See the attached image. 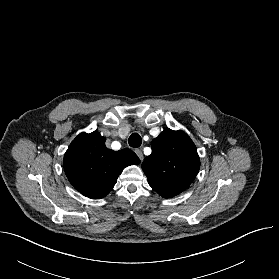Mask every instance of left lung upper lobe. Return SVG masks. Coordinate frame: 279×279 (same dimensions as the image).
<instances>
[{
    "instance_id": "left-lung-upper-lobe-1",
    "label": "left lung upper lobe",
    "mask_w": 279,
    "mask_h": 279,
    "mask_svg": "<svg viewBox=\"0 0 279 279\" xmlns=\"http://www.w3.org/2000/svg\"><path fill=\"white\" fill-rule=\"evenodd\" d=\"M152 154L142 163L148 183L163 198L178 195L194 181L200 160L190 137L165 129L152 141Z\"/></svg>"
}]
</instances>
